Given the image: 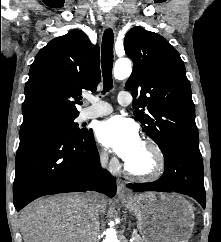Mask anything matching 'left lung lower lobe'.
I'll return each instance as SVG.
<instances>
[{
  "label": "left lung lower lobe",
  "mask_w": 221,
  "mask_h": 242,
  "mask_svg": "<svg viewBox=\"0 0 221 242\" xmlns=\"http://www.w3.org/2000/svg\"><path fill=\"white\" fill-rule=\"evenodd\" d=\"M165 171L151 183L128 184L135 192H178L193 197L205 208L203 161L198 143L177 141L164 152Z\"/></svg>",
  "instance_id": "0a47b994"
}]
</instances>
